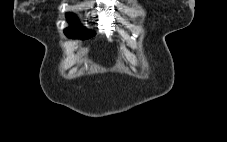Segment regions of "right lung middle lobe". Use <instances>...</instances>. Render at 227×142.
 Returning a JSON list of instances; mask_svg holds the SVG:
<instances>
[{
    "mask_svg": "<svg viewBox=\"0 0 227 142\" xmlns=\"http://www.w3.org/2000/svg\"><path fill=\"white\" fill-rule=\"evenodd\" d=\"M67 20L71 24L70 28L64 30V33L66 34L67 37L69 38L81 37L82 39H88L94 36V33H88L84 28L80 26L77 18L73 14L71 13L67 14Z\"/></svg>",
    "mask_w": 227,
    "mask_h": 142,
    "instance_id": "dd1d6c3e",
    "label": "right lung middle lobe"
}]
</instances>
